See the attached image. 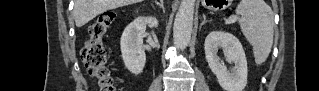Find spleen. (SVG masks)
I'll return each mask as SVG.
<instances>
[{
	"label": "spleen",
	"mask_w": 319,
	"mask_h": 91,
	"mask_svg": "<svg viewBox=\"0 0 319 91\" xmlns=\"http://www.w3.org/2000/svg\"><path fill=\"white\" fill-rule=\"evenodd\" d=\"M236 14L242 18L240 27L253 47L255 63L263 64L273 44L274 16L271 7L264 0H242Z\"/></svg>",
	"instance_id": "spleen-1"
}]
</instances>
